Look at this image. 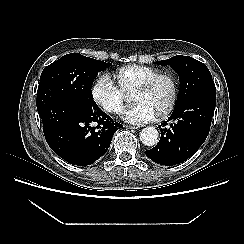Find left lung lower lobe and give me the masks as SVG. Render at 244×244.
<instances>
[{
	"label": "left lung lower lobe",
	"mask_w": 244,
	"mask_h": 244,
	"mask_svg": "<svg viewBox=\"0 0 244 244\" xmlns=\"http://www.w3.org/2000/svg\"><path fill=\"white\" fill-rule=\"evenodd\" d=\"M215 105L214 93L196 95L175 105L170 118L176 120V123L171 124L170 129L161 131L159 143L146 150V156L166 166L187 160L205 141Z\"/></svg>",
	"instance_id": "1"
}]
</instances>
